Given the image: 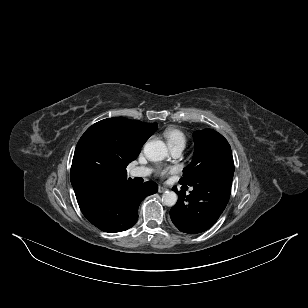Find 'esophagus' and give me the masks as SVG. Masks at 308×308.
<instances>
[{
  "label": "esophagus",
  "instance_id": "esophagus-1",
  "mask_svg": "<svg viewBox=\"0 0 308 308\" xmlns=\"http://www.w3.org/2000/svg\"><path fill=\"white\" fill-rule=\"evenodd\" d=\"M167 191V188H165V187H163V186H159L158 187V192L159 193H164V192H166Z\"/></svg>",
  "mask_w": 308,
  "mask_h": 308
}]
</instances>
